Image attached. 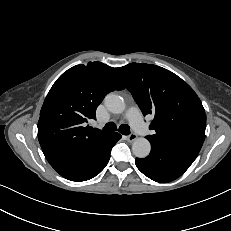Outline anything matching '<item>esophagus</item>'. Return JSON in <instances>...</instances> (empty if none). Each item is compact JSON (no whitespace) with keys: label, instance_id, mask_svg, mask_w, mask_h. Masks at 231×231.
<instances>
[{"label":"esophagus","instance_id":"esophagus-1","mask_svg":"<svg viewBox=\"0 0 231 231\" xmlns=\"http://www.w3.org/2000/svg\"><path fill=\"white\" fill-rule=\"evenodd\" d=\"M137 139V135L135 133H131L130 135L127 136V140L129 142H133Z\"/></svg>","mask_w":231,"mask_h":231}]
</instances>
